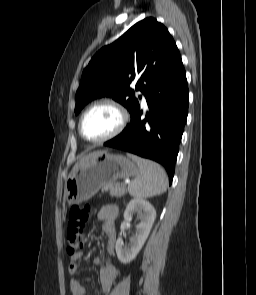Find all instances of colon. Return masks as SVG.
<instances>
[{"label": "colon", "mask_w": 256, "mask_h": 295, "mask_svg": "<svg viewBox=\"0 0 256 295\" xmlns=\"http://www.w3.org/2000/svg\"><path fill=\"white\" fill-rule=\"evenodd\" d=\"M91 209L88 205H73L68 214L66 252L70 256L79 253L83 246V232Z\"/></svg>", "instance_id": "5ec220e1"}]
</instances>
